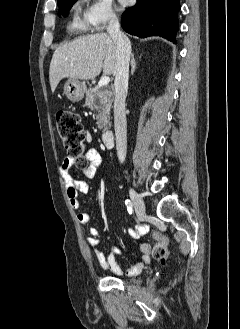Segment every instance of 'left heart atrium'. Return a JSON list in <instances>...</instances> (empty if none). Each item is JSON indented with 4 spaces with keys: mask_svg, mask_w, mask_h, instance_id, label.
<instances>
[{
    "mask_svg": "<svg viewBox=\"0 0 240 329\" xmlns=\"http://www.w3.org/2000/svg\"><path fill=\"white\" fill-rule=\"evenodd\" d=\"M127 2H128V0H120V3H121L122 5H126Z\"/></svg>",
    "mask_w": 240,
    "mask_h": 329,
    "instance_id": "1",
    "label": "left heart atrium"
}]
</instances>
